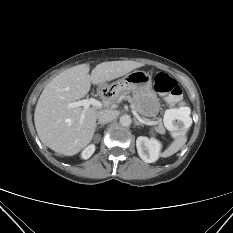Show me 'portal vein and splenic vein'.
<instances>
[{
  "label": "portal vein and splenic vein",
  "mask_w": 233,
  "mask_h": 233,
  "mask_svg": "<svg viewBox=\"0 0 233 233\" xmlns=\"http://www.w3.org/2000/svg\"><path fill=\"white\" fill-rule=\"evenodd\" d=\"M90 105H93L96 108H101L102 107V103L98 100H96L95 98H88V99H83V100H79V101H75V102H71L67 105L68 108H77V107H81L83 106V113L81 115V119L83 120L84 118V112L90 107ZM133 114L136 116L137 119H140V116L136 113L135 110H132ZM144 124L146 125H154L156 124V122L154 121H145V120H141Z\"/></svg>",
  "instance_id": "obj_1"
}]
</instances>
